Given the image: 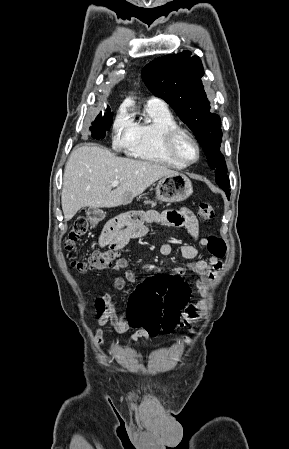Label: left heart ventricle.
Masks as SVG:
<instances>
[{
    "label": "left heart ventricle",
    "mask_w": 289,
    "mask_h": 449,
    "mask_svg": "<svg viewBox=\"0 0 289 449\" xmlns=\"http://www.w3.org/2000/svg\"><path fill=\"white\" fill-rule=\"evenodd\" d=\"M177 149L182 158L192 161L196 157V149L194 145L186 138H180L177 143Z\"/></svg>",
    "instance_id": "b2bd125f"
}]
</instances>
